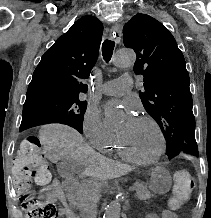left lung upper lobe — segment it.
Here are the masks:
<instances>
[{
	"mask_svg": "<svg viewBox=\"0 0 211 218\" xmlns=\"http://www.w3.org/2000/svg\"><path fill=\"white\" fill-rule=\"evenodd\" d=\"M123 39L137 55L134 72L144 77L139 96L161 128L166 155L197 157L190 79L173 35L153 17L139 13L125 24Z\"/></svg>",
	"mask_w": 211,
	"mask_h": 218,
	"instance_id": "obj_1",
	"label": "left lung upper lobe"
}]
</instances>
